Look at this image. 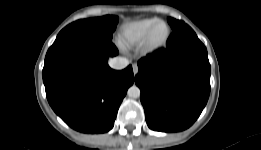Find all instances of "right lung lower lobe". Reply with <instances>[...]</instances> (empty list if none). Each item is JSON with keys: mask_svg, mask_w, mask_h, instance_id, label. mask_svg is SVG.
<instances>
[{"mask_svg": "<svg viewBox=\"0 0 261 150\" xmlns=\"http://www.w3.org/2000/svg\"><path fill=\"white\" fill-rule=\"evenodd\" d=\"M118 53L111 40L66 38L48 49L42 71L48 102L71 128L83 133L109 131L127 89L132 66L116 71L107 60Z\"/></svg>", "mask_w": 261, "mask_h": 150, "instance_id": "1", "label": "right lung lower lobe"}]
</instances>
